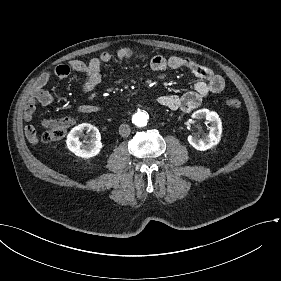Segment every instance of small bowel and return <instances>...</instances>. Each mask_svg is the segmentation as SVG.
<instances>
[{
    "instance_id": "1",
    "label": "small bowel",
    "mask_w": 281,
    "mask_h": 281,
    "mask_svg": "<svg viewBox=\"0 0 281 281\" xmlns=\"http://www.w3.org/2000/svg\"><path fill=\"white\" fill-rule=\"evenodd\" d=\"M116 57L120 61L127 62L142 56L140 53L125 47L117 51ZM111 60L112 55L103 52L98 58L91 59L88 62L72 60L68 65H59L55 74L59 78H66L71 71L79 73L81 76L80 91L82 94H88L99 84L103 64L109 63ZM149 66L155 72L187 69L199 78L193 89L185 94H162L158 97V103L172 111L190 112L197 108L207 95L220 93L225 88V80L221 75L187 57L154 55L149 58ZM51 76L52 74L49 72L43 73L33 85L31 96L24 109L26 121L32 120L36 103L48 105L54 101L53 94L46 89ZM77 111L79 113H98L101 108L97 105H81L77 108ZM52 124V121L45 122L46 126ZM23 135L25 139L31 142L38 141L37 133L31 125L26 126Z\"/></svg>"
}]
</instances>
